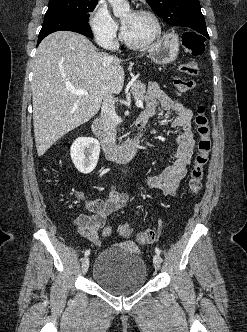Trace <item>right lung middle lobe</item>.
I'll return each mask as SVG.
<instances>
[{
	"label": "right lung middle lobe",
	"mask_w": 247,
	"mask_h": 332,
	"mask_svg": "<svg viewBox=\"0 0 247 332\" xmlns=\"http://www.w3.org/2000/svg\"><path fill=\"white\" fill-rule=\"evenodd\" d=\"M98 0H49L45 18L73 17L88 22L89 12L96 7Z\"/></svg>",
	"instance_id": "dd1d6c3e"
}]
</instances>
